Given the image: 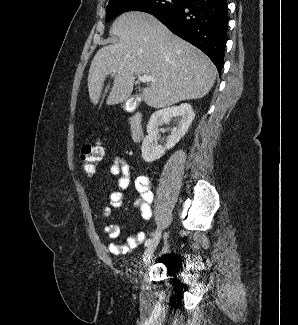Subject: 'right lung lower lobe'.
I'll return each mask as SVG.
<instances>
[{
	"instance_id": "98d812e1",
	"label": "right lung lower lobe",
	"mask_w": 298,
	"mask_h": 325,
	"mask_svg": "<svg viewBox=\"0 0 298 325\" xmlns=\"http://www.w3.org/2000/svg\"><path fill=\"white\" fill-rule=\"evenodd\" d=\"M155 17L207 54L221 72L228 28L226 0H186L181 7L162 11Z\"/></svg>"
}]
</instances>
